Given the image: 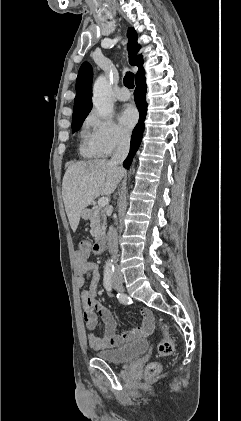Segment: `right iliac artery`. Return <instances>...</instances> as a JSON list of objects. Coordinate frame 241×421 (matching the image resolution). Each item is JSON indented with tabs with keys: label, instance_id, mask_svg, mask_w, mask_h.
<instances>
[{
	"label": "right iliac artery",
	"instance_id": "82829eb1",
	"mask_svg": "<svg viewBox=\"0 0 241 421\" xmlns=\"http://www.w3.org/2000/svg\"><path fill=\"white\" fill-rule=\"evenodd\" d=\"M112 275H113V271L110 269L104 272V286L108 292L112 291V280H111ZM116 297L118 298L119 302L122 304L127 305L131 303L130 298L125 294L117 293Z\"/></svg>",
	"mask_w": 241,
	"mask_h": 421
}]
</instances>
